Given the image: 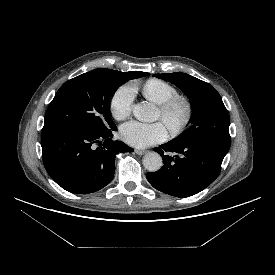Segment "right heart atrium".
I'll return each instance as SVG.
<instances>
[{"label":"right heart atrium","mask_w":275,"mask_h":275,"mask_svg":"<svg viewBox=\"0 0 275 275\" xmlns=\"http://www.w3.org/2000/svg\"><path fill=\"white\" fill-rule=\"evenodd\" d=\"M135 100L134 86L130 83L119 86L111 95L109 108L116 120H125L130 116Z\"/></svg>","instance_id":"1"}]
</instances>
